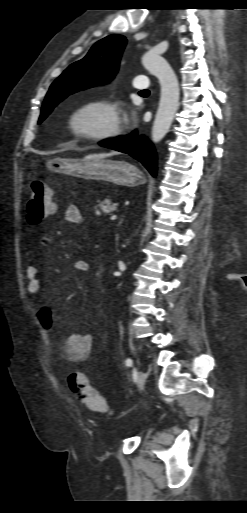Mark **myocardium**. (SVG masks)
<instances>
[{
	"instance_id": "1",
	"label": "myocardium",
	"mask_w": 247,
	"mask_h": 513,
	"mask_svg": "<svg viewBox=\"0 0 247 513\" xmlns=\"http://www.w3.org/2000/svg\"><path fill=\"white\" fill-rule=\"evenodd\" d=\"M91 110H101L105 112L110 119V123L105 128L99 130L81 128L78 124L79 117ZM65 126L67 131L74 138L96 142L114 138L118 136L122 130L121 117L116 104L102 98L86 99L71 107L65 117Z\"/></svg>"
}]
</instances>
